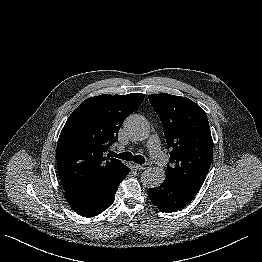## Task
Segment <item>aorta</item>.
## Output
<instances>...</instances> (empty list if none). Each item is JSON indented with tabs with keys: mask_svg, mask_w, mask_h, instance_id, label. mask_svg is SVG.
Instances as JSON below:
<instances>
[{
	"mask_svg": "<svg viewBox=\"0 0 262 262\" xmlns=\"http://www.w3.org/2000/svg\"><path fill=\"white\" fill-rule=\"evenodd\" d=\"M124 129L134 140L143 141L149 137L150 128L146 120L137 114L130 115L124 122ZM166 173L162 168L151 167L141 175V182L147 188H157L165 180Z\"/></svg>",
	"mask_w": 262,
	"mask_h": 262,
	"instance_id": "obj_1",
	"label": "aorta"
}]
</instances>
